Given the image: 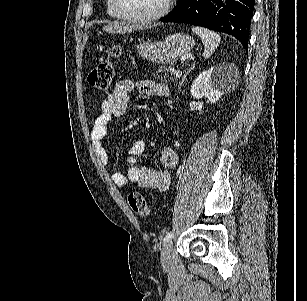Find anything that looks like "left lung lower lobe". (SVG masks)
<instances>
[{"label":"left lung lower lobe","mask_w":307,"mask_h":301,"mask_svg":"<svg viewBox=\"0 0 307 301\" xmlns=\"http://www.w3.org/2000/svg\"><path fill=\"white\" fill-rule=\"evenodd\" d=\"M255 0H182L161 22L198 25L225 32L248 49Z\"/></svg>","instance_id":"obj_1"}]
</instances>
